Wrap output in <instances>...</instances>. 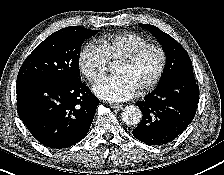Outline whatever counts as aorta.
<instances>
[{
	"label": "aorta",
	"mask_w": 224,
	"mask_h": 175,
	"mask_svg": "<svg viewBox=\"0 0 224 175\" xmlns=\"http://www.w3.org/2000/svg\"><path fill=\"white\" fill-rule=\"evenodd\" d=\"M141 110L134 105L126 106L122 112V120L127 125H136L141 121Z\"/></svg>",
	"instance_id": "762f6f07"
}]
</instances>
